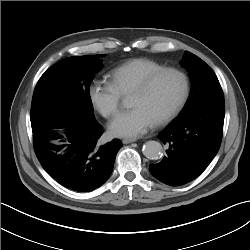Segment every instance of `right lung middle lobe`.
I'll return each mask as SVG.
<instances>
[{
	"label": "right lung middle lobe",
	"mask_w": 250,
	"mask_h": 250,
	"mask_svg": "<svg viewBox=\"0 0 250 250\" xmlns=\"http://www.w3.org/2000/svg\"><path fill=\"white\" fill-rule=\"evenodd\" d=\"M100 56L63 59L41 76L31 105L33 134L96 121L89 85L102 68Z\"/></svg>",
	"instance_id": "right-lung-middle-lobe-1"
}]
</instances>
